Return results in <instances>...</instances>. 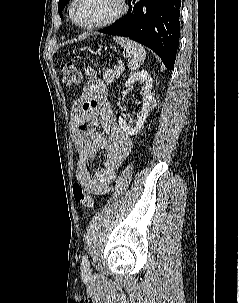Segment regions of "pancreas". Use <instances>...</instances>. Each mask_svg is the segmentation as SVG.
<instances>
[{
  "label": "pancreas",
  "instance_id": "cf45deb5",
  "mask_svg": "<svg viewBox=\"0 0 239 303\" xmlns=\"http://www.w3.org/2000/svg\"><path fill=\"white\" fill-rule=\"evenodd\" d=\"M123 68L121 67L119 70L116 69H105L103 72V79L107 84H111L115 79H118L123 72Z\"/></svg>",
  "mask_w": 239,
  "mask_h": 303
}]
</instances>
